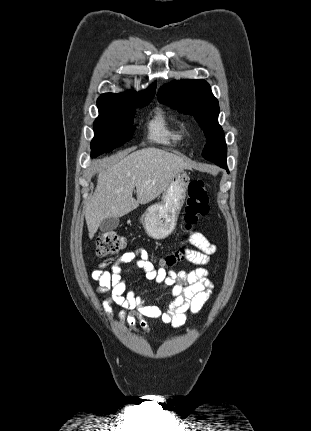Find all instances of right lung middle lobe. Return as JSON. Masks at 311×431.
I'll list each match as a JSON object with an SVG mask.
<instances>
[{
    "label": "right lung middle lobe",
    "instance_id": "right-lung-middle-lobe-1",
    "mask_svg": "<svg viewBox=\"0 0 311 431\" xmlns=\"http://www.w3.org/2000/svg\"><path fill=\"white\" fill-rule=\"evenodd\" d=\"M152 100L149 98L99 97V116L94 122V138L91 142V157L123 145L134 133V108H141Z\"/></svg>",
    "mask_w": 311,
    "mask_h": 431
}]
</instances>
